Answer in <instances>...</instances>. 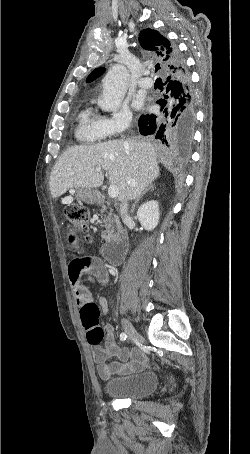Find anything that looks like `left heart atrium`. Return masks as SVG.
<instances>
[{
    "mask_svg": "<svg viewBox=\"0 0 250 454\" xmlns=\"http://www.w3.org/2000/svg\"><path fill=\"white\" fill-rule=\"evenodd\" d=\"M136 106H137V107H139V106H140V104H139V103H136Z\"/></svg>",
    "mask_w": 250,
    "mask_h": 454,
    "instance_id": "left-heart-atrium-1",
    "label": "left heart atrium"
}]
</instances>
